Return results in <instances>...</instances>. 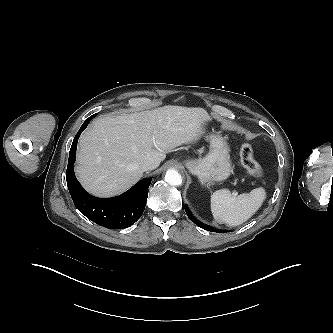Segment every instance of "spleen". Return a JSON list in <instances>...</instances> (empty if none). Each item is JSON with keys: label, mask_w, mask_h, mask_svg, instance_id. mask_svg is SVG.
Returning a JSON list of instances; mask_svg holds the SVG:
<instances>
[{"label": "spleen", "mask_w": 333, "mask_h": 333, "mask_svg": "<svg viewBox=\"0 0 333 333\" xmlns=\"http://www.w3.org/2000/svg\"><path fill=\"white\" fill-rule=\"evenodd\" d=\"M265 198V190L261 187L238 196H233L228 189H221L211 196V211L218 223L238 226L255 214Z\"/></svg>", "instance_id": "1"}]
</instances>
